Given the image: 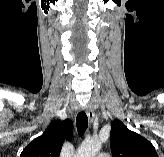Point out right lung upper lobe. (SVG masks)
Here are the masks:
<instances>
[{
	"instance_id": "obj_1",
	"label": "right lung upper lobe",
	"mask_w": 164,
	"mask_h": 157,
	"mask_svg": "<svg viewBox=\"0 0 164 157\" xmlns=\"http://www.w3.org/2000/svg\"><path fill=\"white\" fill-rule=\"evenodd\" d=\"M72 135L71 120H56L22 151L20 157H60L64 139L70 140Z\"/></svg>"
}]
</instances>
